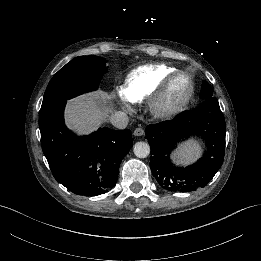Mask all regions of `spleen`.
<instances>
[{
  "instance_id": "obj_1",
  "label": "spleen",
  "mask_w": 261,
  "mask_h": 261,
  "mask_svg": "<svg viewBox=\"0 0 261 261\" xmlns=\"http://www.w3.org/2000/svg\"><path fill=\"white\" fill-rule=\"evenodd\" d=\"M201 155V145L195 140L190 139L183 142L178 149L171 154V158L175 164L187 166L197 161Z\"/></svg>"
}]
</instances>
